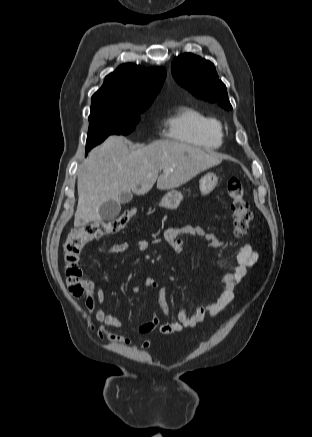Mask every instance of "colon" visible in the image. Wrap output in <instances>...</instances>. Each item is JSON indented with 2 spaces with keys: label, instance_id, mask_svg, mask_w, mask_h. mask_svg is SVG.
Segmentation results:
<instances>
[{
  "label": "colon",
  "instance_id": "obj_1",
  "mask_svg": "<svg viewBox=\"0 0 312 437\" xmlns=\"http://www.w3.org/2000/svg\"><path fill=\"white\" fill-rule=\"evenodd\" d=\"M227 194L230 199L233 233L236 237H243L250 229L252 215L244 197V186L240 178L229 179ZM135 213V208H128L110 220H96L69 233L63 244L62 257L66 288L73 298H84L88 292V281L83 277L80 266L85 246L104 235L120 231L134 218Z\"/></svg>",
  "mask_w": 312,
  "mask_h": 437
}]
</instances>
